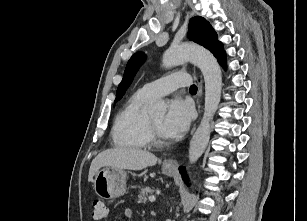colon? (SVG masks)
Returning a JSON list of instances; mask_svg holds the SVG:
<instances>
[{"label":"colon","mask_w":307,"mask_h":221,"mask_svg":"<svg viewBox=\"0 0 307 221\" xmlns=\"http://www.w3.org/2000/svg\"><path fill=\"white\" fill-rule=\"evenodd\" d=\"M93 217L95 219H104L109 215L107 204L102 199H96L93 202Z\"/></svg>","instance_id":"1"}]
</instances>
